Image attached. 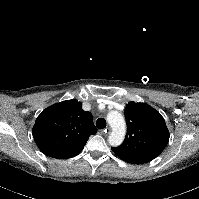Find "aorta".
Instances as JSON below:
<instances>
[{"mask_svg": "<svg viewBox=\"0 0 199 199\" xmlns=\"http://www.w3.org/2000/svg\"><path fill=\"white\" fill-rule=\"evenodd\" d=\"M107 121L112 128L108 141L113 147H117L122 144L126 134V122L124 117L118 111H110L107 114Z\"/></svg>", "mask_w": 199, "mask_h": 199, "instance_id": "aorta-1", "label": "aorta"}]
</instances>
